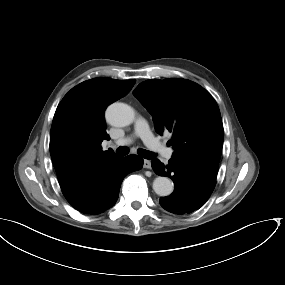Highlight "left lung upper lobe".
I'll list each match as a JSON object with an SVG mask.
<instances>
[{
  "label": "left lung upper lobe",
  "instance_id": "left-lung-upper-lobe-1",
  "mask_svg": "<svg viewBox=\"0 0 285 285\" xmlns=\"http://www.w3.org/2000/svg\"><path fill=\"white\" fill-rule=\"evenodd\" d=\"M133 95L150 112L159 134L172 132V158L218 169L223 124L216 101L203 87L185 79L147 80Z\"/></svg>",
  "mask_w": 285,
  "mask_h": 285
}]
</instances>
